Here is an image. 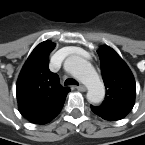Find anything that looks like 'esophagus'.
<instances>
[{
	"mask_svg": "<svg viewBox=\"0 0 145 145\" xmlns=\"http://www.w3.org/2000/svg\"><path fill=\"white\" fill-rule=\"evenodd\" d=\"M76 88H77V90H79V91H81V92L86 91V87H85L84 85H79V86H77Z\"/></svg>",
	"mask_w": 145,
	"mask_h": 145,
	"instance_id": "1",
	"label": "esophagus"
}]
</instances>
